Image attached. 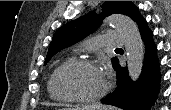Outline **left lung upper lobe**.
<instances>
[{
    "label": "left lung upper lobe",
    "instance_id": "obj_1",
    "mask_svg": "<svg viewBox=\"0 0 171 110\" xmlns=\"http://www.w3.org/2000/svg\"><path fill=\"white\" fill-rule=\"evenodd\" d=\"M102 10L103 12L100 15L90 12L59 28L54 34L44 65L60 50L75 44L94 32L105 16L120 13L129 16L137 24L143 18L138 8L131 1H106L102 6ZM118 63L117 58L112 59L114 69H116Z\"/></svg>",
    "mask_w": 171,
    "mask_h": 110
}]
</instances>
